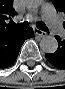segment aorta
I'll list each match as a JSON object with an SVG mask.
<instances>
[{"mask_svg":"<svg viewBox=\"0 0 65 89\" xmlns=\"http://www.w3.org/2000/svg\"><path fill=\"white\" fill-rule=\"evenodd\" d=\"M32 7L38 6L37 1H33L30 3ZM40 48L43 52L52 54L55 53L58 48V42L54 36L47 35L44 36L40 41Z\"/></svg>","mask_w":65,"mask_h":89,"instance_id":"1","label":"aorta"}]
</instances>
